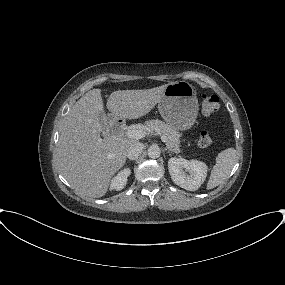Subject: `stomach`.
Here are the masks:
<instances>
[{"mask_svg":"<svg viewBox=\"0 0 285 285\" xmlns=\"http://www.w3.org/2000/svg\"><path fill=\"white\" fill-rule=\"evenodd\" d=\"M198 107L196 90L186 81L169 83L158 103L164 121L178 131L187 130L194 124Z\"/></svg>","mask_w":285,"mask_h":285,"instance_id":"1","label":"stomach"}]
</instances>
